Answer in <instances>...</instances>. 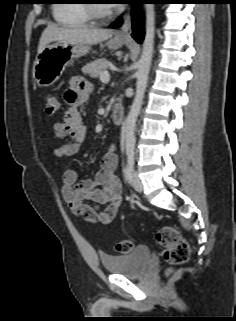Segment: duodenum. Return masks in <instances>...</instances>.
Here are the masks:
<instances>
[{
	"instance_id": "1",
	"label": "duodenum",
	"mask_w": 236,
	"mask_h": 321,
	"mask_svg": "<svg viewBox=\"0 0 236 321\" xmlns=\"http://www.w3.org/2000/svg\"><path fill=\"white\" fill-rule=\"evenodd\" d=\"M111 118L115 124L121 125L124 121L123 109L119 106L114 107L111 113Z\"/></svg>"
}]
</instances>
